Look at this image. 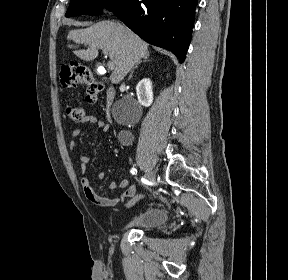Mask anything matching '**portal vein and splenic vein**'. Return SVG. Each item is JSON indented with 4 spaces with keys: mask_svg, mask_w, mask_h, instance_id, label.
I'll return each instance as SVG.
<instances>
[{
    "mask_svg": "<svg viewBox=\"0 0 288 280\" xmlns=\"http://www.w3.org/2000/svg\"><path fill=\"white\" fill-rule=\"evenodd\" d=\"M103 53H104L105 55L108 54L107 51H105V50H103ZM107 66H108V69H110V70H113V69H114V63H113V62H108V63H107Z\"/></svg>",
    "mask_w": 288,
    "mask_h": 280,
    "instance_id": "18ae733b",
    "label": "portal vein and splenic vein"
}]
</instances>
